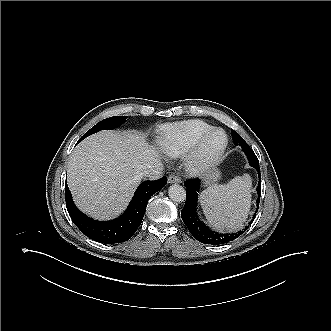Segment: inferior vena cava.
<instances>
[{"mask_svg": "<svg viewBox=\"0 0 331 331\" xmlns=\"http://www.w3.org/2000/svg\"><path fill=\"white\" fill-rule=\"evenodd\" d=\"M163 166L162 164L152 166L148 169H146L142 176L146 177L147 180H157L162 177L163 175Z\"/></svg>", "mask_w": 331, "mask_h": 331, "instance_id": "602c4592", "label": "inferior vena cava"}]
</instances>
